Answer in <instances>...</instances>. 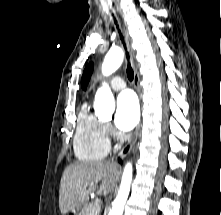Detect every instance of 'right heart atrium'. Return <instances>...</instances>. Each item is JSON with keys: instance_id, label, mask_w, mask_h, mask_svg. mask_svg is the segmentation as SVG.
I'll return each mask as SVG.
<instances>
[{"instance_id": "d8ad5b80", "label": "right heart atrium", "mask_w": 221, "mask_h": 215, "mask_svg": "<svg viewBox=\"0 0 221 215\" xmlns=\"http://www.w3.org/2000/svg\"><path fill=\"white\" fill-rule=\"evenodd\" d=\"M103 131L106 138H110L115 134L109 124H103Z\"/></svg>"}]
</instances>
